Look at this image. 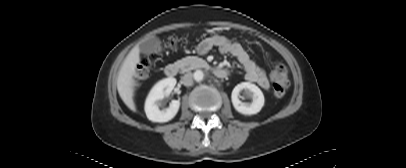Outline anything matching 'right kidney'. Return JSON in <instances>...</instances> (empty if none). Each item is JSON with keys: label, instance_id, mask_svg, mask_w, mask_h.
<instances>
[{"label": "right kidney", "instance_id": "obj_1", "mask_svg": "<svg viewBox=\"0 0 406 168\" xmlns=\"http://www.w3.org/2000/svg\"><path fill=\"white\" fill-rule=\"evenodd\" d=\"M175 85V78H166L156 83L151 89L145 102V113L150 121L164 123L175 117L180 107L179 100H172L168 108L159 109V101L168 96Z\"/></svg>", "mask_w": 406, "mask_h": 168}]
</instances>
